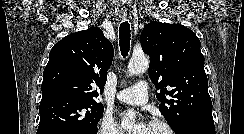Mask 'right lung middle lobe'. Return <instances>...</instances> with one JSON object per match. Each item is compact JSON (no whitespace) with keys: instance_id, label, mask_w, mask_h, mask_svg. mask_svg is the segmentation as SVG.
Returning <instances> with one entry per match:
<instances>
[{"instance_id":"dd1d6c3e","label":"right lung middle lobe","mask_w":244,"mask_h":134,"mask_svg":"<svg viewBox=\"0 0 244 134\" xmlns=\"http://www.w3.org/2000/svg\"><path fill=\"white\" fill-rule=\"evenodd\" d=\"M103 111V105L97 102L64 97L42 101L37 134H51L58 130L95 134Z\"/></svg>"}]
</instances>
